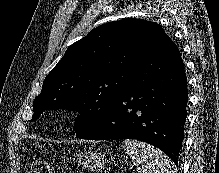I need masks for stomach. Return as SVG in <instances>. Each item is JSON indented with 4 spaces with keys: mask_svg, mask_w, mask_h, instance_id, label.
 <instances>
[{
    "mask_svg": "<svg viewBox=\"0 0 219 173\" xmlns=\"http://www.w3.org/2000/svg\"><path fill=\"white\" fill-rule=\"evenodd\" d=\"M75 159L79 165L89 169L100 168L107 162L105 154L93 151L78 153L75 155Z\"/></svg>",
    "mask_w": 219,
    "mask_h": 173,
    "instance_id": "obj_1",
    "label": "stomach"
}]
</instances>
